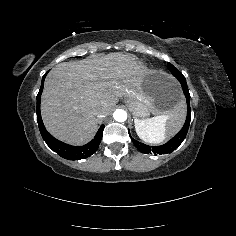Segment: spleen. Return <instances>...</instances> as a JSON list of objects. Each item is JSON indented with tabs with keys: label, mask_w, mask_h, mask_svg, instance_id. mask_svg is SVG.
I'll return each instance as SVG.
<instances>
[{
	"label": "spleen",
	"mask_w": 236,
	"mask_h": 236,
	"mask_svg": "<svg viewBox=\"0 0 236 236\" xmlns=\"http://www.w3.org/2000/svg\"><path fill=\"white\" fill-rule=\"evenodd\" d=\"M177 112H170L167 115L155 116L153 118L139 120L135 119V130L140 139L147 143L159 144L166 138V124Z\"/></svg>",
	"instance_id": "3e777b00"
}]
</instances>
